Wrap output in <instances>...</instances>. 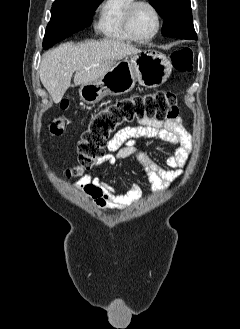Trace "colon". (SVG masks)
<instances>
[{
    "label": "colon",
    "instance_id": "colon-1",
    "mask_svg": "<svg viewBox=\"0 0 240 329\" xmlns=\"http://www.w3.org/2000/svg\"><path fill=\"white\" fill-rule=\"evenodd\" d=\"M173 68L178 72H190L193 69V52L189 48L174 51L171 55ZM67 102L61 103V108H67ZM178 115V98L171 91H157L136 94L111 104L97 112L82 133L78 143L77 165L66 172V176L78 177L86 169L93 167L103 156L107 141L117 128L124 124L142 120L174 119ZM65 128V120L56 118L50 125L53 136L60 135Z\"/></svg>",
    "mask_w": 240,
    "mask_h": 329
}]
</instances>
